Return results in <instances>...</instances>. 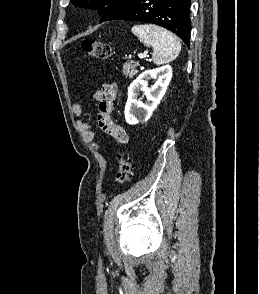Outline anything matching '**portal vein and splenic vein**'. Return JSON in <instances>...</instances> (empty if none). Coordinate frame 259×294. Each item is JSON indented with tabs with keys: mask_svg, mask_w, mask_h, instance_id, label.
<instances>
[{
	"mask_svg": "<svg viewBox=\"0 0 259 294\" xmlns=\"http://www.w3.org/2000/svg\"><path fill=\"white\" fill-rule=\"evenodd\" d=\"M138 57H139L140 59H143V58L146 57V54L140 53V54H138Z\"/></svg>",
	"mask_w": 259,
	"mask_h": 294,
	"instance_id": "1",
	"label": "portal vein and splenic vein"
}]
</instances>
